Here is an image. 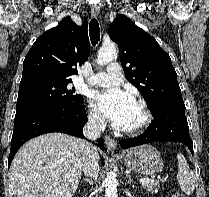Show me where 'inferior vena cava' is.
Returning <instances> with one entry per match:
<instances>
[{
  "instance_id": "obj_1",
  "label": "inferior vena cava",
  "mask_w": 209,
  "mask_h": 197,
  "mask_svg": "<svg viewBox=\"0 0 209 197\" xmlns=\"http://www.w3.org/2000/svg\"><path fill=\"white\" fill-rule=\"evenodd\" d=\"M105 128V119L101 115L95 114L89 116L88 122L83 127V134L88 140L93 141L100 137L101 132H103ZM82 145L85 150L83 172L85 174V177H87V179L89 180V182L93 184V181H96L99 175L97 149L89 141L82 140Z\"/></svg>"
}]
</instances>
